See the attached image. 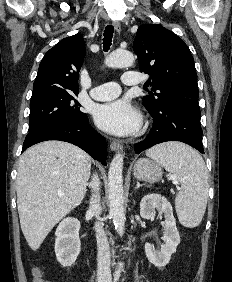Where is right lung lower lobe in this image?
Returning a JSON list of instances; mask_svg holds the SVG:
<instances>
[{
  "instance_id": "98d812e1",
  "label": "right lung lower lobe",
  "mask_w": 232,
  "mask_h": 282,
  "mask_svg": "<svg viewBox=\"0 0 232 282\" xmlns=\"http://www.w3.org/2000/svg\"><path fill=\"white\" fill-rule=\"evenodd\" d=\"M47 140H60L72 143L86 151L95 160L106 165V140L92 126L88 125V117L83 120H61L43 128L29 131L22 151L36 143Z\"/></svg>"
}]
</instances>
